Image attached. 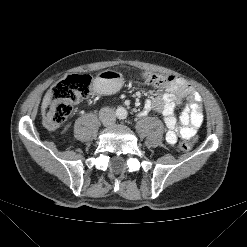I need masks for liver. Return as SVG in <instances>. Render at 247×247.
<instances>
[{
    "label": "liver",
    "instance_id": "liver-1",
    "mask_svg": "<svg viewBox=\"0 0 247 247\" xmlns=\"http://www.w3.org/2000/svg\"><path fill=\"white\" fill-rule=\"evenodd\" d=\"M52 96H53L52 92L46 93V95L44 96V99H43L42 109L47 108V106H48V105L50 104V102H51Z\"/></svg>",
    "mask_w": 247,
    "mask_h": 247
}]
</instances>
